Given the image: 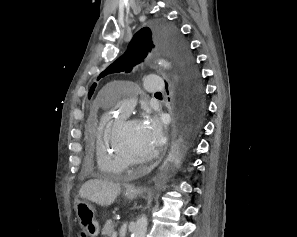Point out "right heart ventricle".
<instances>
[{"mask_svg":"<svg viewBox=\"0 0 297 237\" xmlns=\"http://www.w3.org/2000/svg\"><path fill=\"white\" fill-rule=\"evenodd\" d=\"M123 118L121 114H105L97 125L94 145L96 163L99 170L107 175L120 174L128 167L113 142L115 128Z\"/></svg>","mask_w":297,"mask_h":237,"instance_id":"1","label":"right heart ventricle"}]
</instances>
